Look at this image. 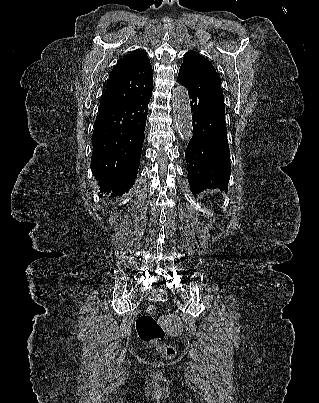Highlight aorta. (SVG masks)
<instances>
[{"instance_id": "1", "label": "aorta", "mask_w": 319, "mask_h": 403, "mask_svg": "<svg viewBox=\"0 0 319 403\" xmlns=\"http://www.w3.org/2000/svg\"><path fill=\"white\" fill-rule=\"evenodd\" d=\"M173 113L179 135L182 140L189 141L192 138V115L188 91L178 86L173 89L172 95Z\"/></svg>"}]
</instances>
